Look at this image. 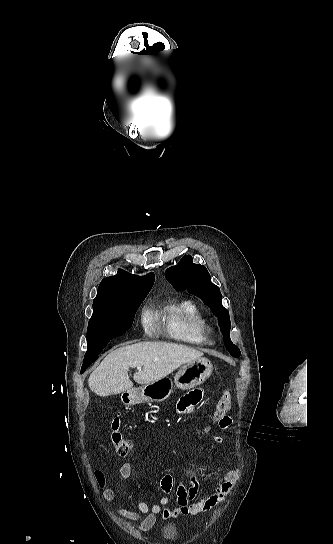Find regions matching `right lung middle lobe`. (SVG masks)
I'll return each mask as SVG.
<instances>
[{
  "label": "right lung middle lobe",
  "mask_w": 333,
  "mask_h": 544,
  "mask_svg": "<svg viewBox=\"0 0 333 544\" xmlns=\"http://www.w3.org/2000/svg\"><path fill=\"white\" fill-rule=\"evenodd\" d=\"M149 291L93 303V315L87 329L88 347L82 367L94 362L112 338L132 326L135 313Z\"/></svg>",
  "instance_id": "right-lung-middle-lobe-1"
}]
</instances>
